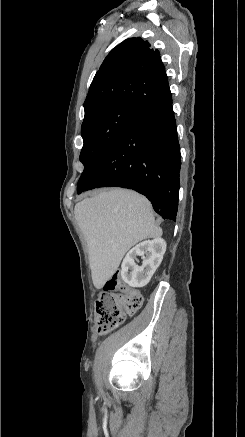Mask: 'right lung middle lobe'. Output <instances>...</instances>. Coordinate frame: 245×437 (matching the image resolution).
I'll return each instance as SVG.
<instances>
[{"mask_svg": "<svg viewBox=\"0 0 245 437\" xmlns=\"http://www.w3.org/2000/svg\"><path fill=\"white\" fill-rule=\"evenodd\" d=\"M139 108L127 102H113L96 107L85 114L81 127L84 144L80 153L84 170L78 181L77 191L81 182L111 149Z\"/></svg>", "mask_w": 245, "mask_h": 437, "instance_id": "1", "label": "right lung middle lobe"}]
</instances>
